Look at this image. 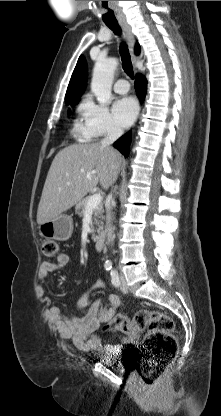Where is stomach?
Instances as JSON below:
<instances>
[{
    "instance_id": "obj_1",
    "label": "stomach",
    "mask_w": 221,
    "mask_h": 416,
    "mask_svg": "<svg viewBox=\"0 0 221 416\" xmlns=\"http://www.w3.org/2000/svg\"><path fill=\"white\" fill-rule=\"evenodd\" d=\"M38 229L44 238L67 241L73 233V220L69 215L60 214L54 219L40 224Z\"/></svg>"
}]
</instances>
